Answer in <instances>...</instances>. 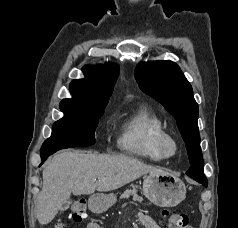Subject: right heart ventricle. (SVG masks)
I'll use <instances>...</instances> for the list:
<instances>
[{"instance_id":"1","label":"right heart ventricle","mask_w":238,"mask_h":228,"mask_svg":"<svg viewBox=\"0 0 238 228\" xmlns=\"http://www.w3.org/2000/svg\"><path fill=\"white\" fill-rule=\"evenodd\" d=\"M164 130L161 118L149 107L140 106L122 121L118 146L129 155L160 162L165 158L156 141Z\"/></svg>"}]
</instances>
